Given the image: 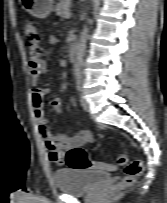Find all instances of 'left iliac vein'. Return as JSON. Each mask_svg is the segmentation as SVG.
<instances>
[{"label": "left iliac vein", "mask_w": 167, "mask_h": 203, "mask_svg": "<svg viewBox=\"0 0 167 203\" xmlns=\"http://www.w3.org/2000/svg\"><path fill=\"white\" fill-rule=\"evenodd\" d=\"M80 102L83 110L89 112L90 111L89 103L83 96H81Z\"/></svg>", "instance_id": "left-iliac-vein-1"}]
</instances>
